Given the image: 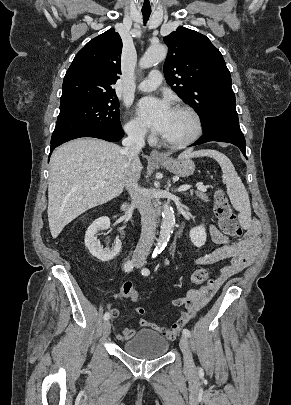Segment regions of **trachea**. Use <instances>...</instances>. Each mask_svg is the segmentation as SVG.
<instances>
[{
    "label": "trachea",
    "mask_w": 291,
    "mask_h": 405,
    "mask_svg": "<svg viewBox=\"0 0 291 405\" xmlns=\"http://www.w3.org/2000/svg\"><path fill=\"white\" fill-rule=\"evenodd\" d=\"M144 23H146L150 17L151 11H142Z\"/></svg>",
    "instance_id": "1"
}]
</instances>
